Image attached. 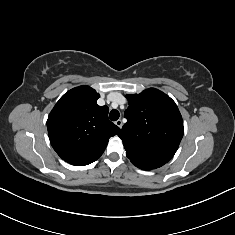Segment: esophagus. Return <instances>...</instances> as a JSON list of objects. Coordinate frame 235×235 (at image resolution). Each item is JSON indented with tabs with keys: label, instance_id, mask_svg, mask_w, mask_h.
<instances>
[{
	"label": "esophagus",
	"instance_id": "esophagus-1",
	"mask_svg": "<svg viewBox=\"0 0 235 235\" xmlns=\"http://www.w3.org/2000/svg\"><path fill=\"white\" fill-rule=\"evenodd\" d=\"M115 124L119 127V128H122L123 126V123H122V120L121 119H118Z\"/></svg>",
	"mask_w": 235,
	"mask_h": 235
}]
</instances>
